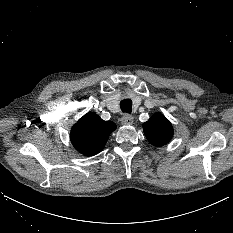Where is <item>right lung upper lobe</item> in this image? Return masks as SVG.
I'll use <instances>...</instances> for the list:
<instances>
[{
  "instance_id": "obj_1",
  "label": "right lung upper lobe",
  "mask_w": 233,
  "mask_h": 233,
  "mask_svg": "<svg viewBox=\"0 0 233 233\" xmlns=\"http://www.w3.org/2000/svg\"><path fill=\"white\" fill-rule=\"evenodd\" d=\"M116 125L104 121L95 113L84 115L71 129V142L80 153L92 156L99 153Z\"/></svg>"
}]
</instances>
